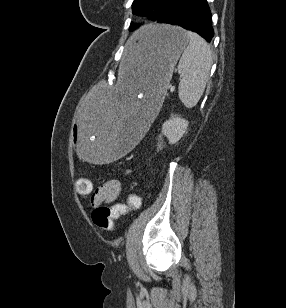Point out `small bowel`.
I'll use <instances>...</instances> for the list:
<instances>
[{
  "label": "small bowel",
  "mask_w": 286,
  "mask_h": 308,
  "mask_svg": "<svg viewBox=\"0 0 286 308\" xmlns=\"http://www.w3.org/2000/svg\"><path fill=\"white\" fill-rule=\"evenodd\" d=\"M121 190V182L117 179H111L99 186L91 197L90 204L96 207L103 203L114 202Z\"/></svg>",
  "instance_id": "obj_1"
}]
</instances>
